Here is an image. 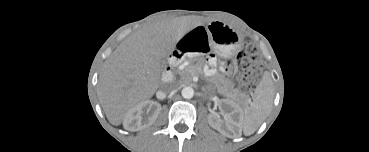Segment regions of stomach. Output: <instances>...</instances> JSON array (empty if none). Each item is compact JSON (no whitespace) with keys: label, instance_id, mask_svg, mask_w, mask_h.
<instances>
[{"label":"stomach","instance_id":"stomach-1","mask_svg":"<svg viewBox=\"0 0 369 152\" xmlns=\"http://www.w3.org/2000/svg\"><path fill=\"white\" fill-rule=\"evenodd\" d=\"M206 32L214 51L225 58L231 56L242 40L233 28L218 21L209 24Z\"/></svg>","mask_w":369,"mask_h":152}]
</instances>
